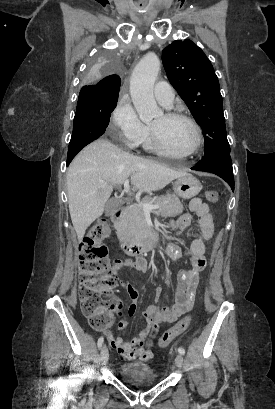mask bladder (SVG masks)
<instances>
[{"mask_svg": "<svg viewBox=\"0 0 275 409\" xmlns=\"http://www.w3.org/2000/svg\"><path fill=\"white\" fill-rule=\"evenodd\" d=\"M118 378L129 386L152 385L159 382L150 364L141 361H129L121 365L117 371Z\"/></svg>", "mask_w": 275, "mask_h": 409, "instance_id": "1", "label": "bladder"}]
</instances>
